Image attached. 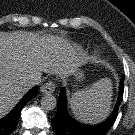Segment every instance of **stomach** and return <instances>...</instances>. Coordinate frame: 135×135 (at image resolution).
Segmentation results:
<instances>
[{"mask_svg":"<svg viewBox=\"0 0 135 135\" xmlns=\"http://www.w3.org/2000/svg\"><path fill=\"white\" fill-rule=\"evenodd\" d=\"M75 82H81L84 79V72L81 69H76L73 72Z\"/></svg>","mask_w":135,"mask_h":135,"instance_id":"stomach-1","label":"stomach"}]
</instances>
